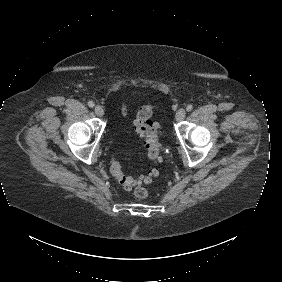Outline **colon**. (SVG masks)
<instances>
[{"label":"colon","instance_id":"obj_1","mask_svg":"<svg viewBox=\"0 0 282 282\" xmlns=\"http://www.w3.org/2000/svg\"><path fill=\"white\" fill-rule=\"evenodd\" d=\"M163 111V106L160 103L150 105H143L140 108L138 129L142 133L147 146L146 157L153 163L157 164L161 161L162 146L160 143L157 126L152 121V115L160 114ZM111 175L116 179L118 184L127 190H131L134 185L140 181L149 183L154 177L159 175L158 169H152L146 174L142 173L139 178L137 176L131 177L124 173V167L116 157H112L109 165ZM149 196L147 187L139 188L135 191L134 197L137 199H145Z\"/></svg>","mask_w":282,"mask_h":282}]
</instances>
